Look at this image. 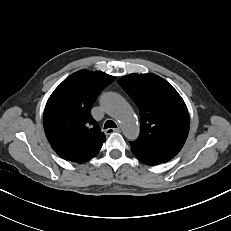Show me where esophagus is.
Segmentation results:
<instances>
[{"instance_id":"34e87169","label":"esophagus","mask_w":231,"mask_h":231,"mask_svg":"<svg viewBox=\"0 0 231 231\" xmlns=\"http://www.w3.org/2000/svg\"><path fill=\"white\" fill-rule=\"evenodd\" d=\"M114 132H120V129L119 128H108L105 130V133L108 135V134H111V133H114Z\"/></svg>"}]
</instances>
